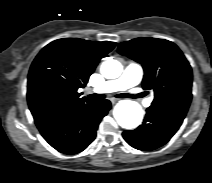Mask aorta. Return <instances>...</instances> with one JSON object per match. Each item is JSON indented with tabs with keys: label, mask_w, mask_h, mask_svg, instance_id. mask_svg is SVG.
Wrapping results in <instances>:
<instances>
[{
	"label": "aorta",
	"mask_w": 212,
	"mask_h": 183,
	"mask_svg": "<svg viewBox=\"0 0 212 183\" xmlns=\"http://www.w3.org/2000/svg\"><path fill=\"white\" fill-rule=\"evenodd\" d=\"M101 74L107 79L118 78L123 67L121 63L114 59H109L102 63ZM114 117L118 124L125 129H134L142 121L143 111L141 106L132 100H122L114 108Z\"/></svg>",
	"instance_id": "aorta-1"
}]
</instances>
